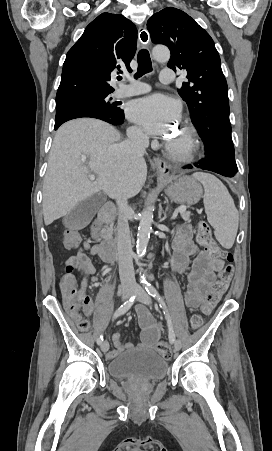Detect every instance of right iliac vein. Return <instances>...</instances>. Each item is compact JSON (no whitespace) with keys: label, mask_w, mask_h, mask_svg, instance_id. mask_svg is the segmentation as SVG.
Returning <instances> with one entry per match:
<instances>
[{"label":"right iliac vein","mask_w":272,"mask_h":451,"mask_svg":"<svg viewBox=\"0 0 272 451\" xmlns=\"http://www.w3.org/2000/svg\"><path fill=\"white\" fill-rule=\"evenodd\" d=\"M133 292H134V290L132 288L125 287L123 289V291H122V299L123 300L129 299L132 296ZM108 349H109L108 341H103L101 343V350H102V352L106 353L108 351Z\"/></svg>","instance_id":"63e3f726"}]
</instances>
